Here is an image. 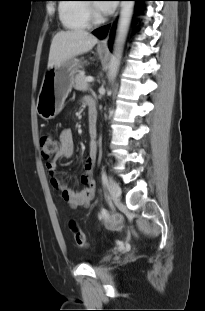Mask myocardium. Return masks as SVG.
Wrapping results in <instances>:
<instances>
[{
  "label": "myocardium",
  "instance_id": "obj_1",
  "mask_svg": "<svg viewBox=\"0 0 205 311\" xmlns=\"http://www.w3.org/2000/svg\"><path fill=\"white\" fill-rule=\"evenodd\" d=\"M89 11H90V13H92V15H93L94 22H95V23H99V22L101 21V19H100V17H99L98 15H96V14L94 13V8H93V7H89Z\"/></svg>",
  "mask_w": 205,
  "mask_h": 311
}]
</instances>
